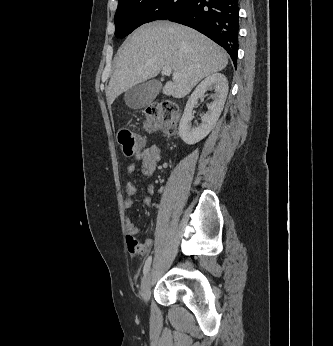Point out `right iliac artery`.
Segmentation results:
<instances>
[{"instance_id":"obj_1","label":"right iliac artery","mask_w":333,"mask_h":346,"mask_svg":"<svg viewBox=\"0 0 333 346\" xmlns=\"http://www.w3.org/2000/svg\"><path fill=\"white\" fill-rule=\"evenodd\" d=\"M151 261H152V256H149L145 262V265H144V268H143V274L145 275L149 268H150V265H151Z\"/></svg>"}]
</instances>
